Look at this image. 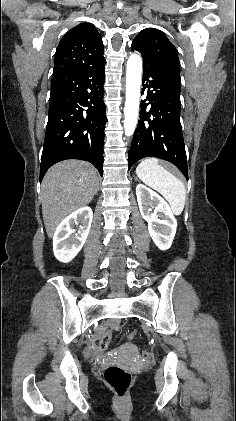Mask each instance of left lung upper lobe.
<instances>
[{"label":"left lung upper lobe","instance_id":"1","mask_svg":"<svg viewBox=\"0 0 236 421\" xmlns=\"http://www.w3.org/2000/svg\"><path fill=\"white\" fill-rule=\"evenodd\" d=\"M131 49L141 53L143 62L180 76L177 51L162 31L155 28L143 29L134 38Z\"/></svg>","mask_w":236,"mask_h":421}]
</instances>
